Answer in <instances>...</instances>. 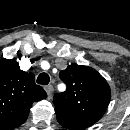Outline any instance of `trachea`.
I'll return each mask as SVG.
<instances>
[{
  "label": "trachea",
  "instance_id": "obj_1",
  "mask_svg": "<svg viewBox=\"0 0 130 130\" xmlns=\"http://www.w3.org/2000/svg\"><path fill=\"white\" fill-rule=\"evenodd\" d=\"M50 82V77L47 73H41L37 78V83L47 85Z\"/></svg>",
  "mask_w": 130,
  "mask_h": 130
}]
</instances>
